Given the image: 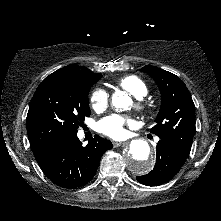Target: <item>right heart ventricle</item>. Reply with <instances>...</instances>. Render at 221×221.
Segmentation results:
<instances>
[{"label":"right heart ventricle","mask_w":221,"mask_h":221,"mask_svg":"<svg viewBox=\"0 0 221 221\" xmlns=\"http://www.w3.org/2000/svg\"><path fill=\"white\" fill-rule=\"evenodd\" d=\"M118 85L134 95L137 98H142L147 94L145 83L135 75H129L121 78Z\"/></svg>","instance_id":"obj_1"}]
</instances>
